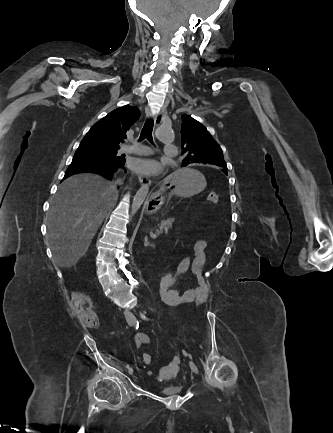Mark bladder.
Listing matches in <instances>:
<instances>
[{
    "instance_id": "1",
    "label": "bladder",
    "mask_w": 333,
    "mask_h": 433,
    "mask_svg": "<svg viewBox=\"0 0 333 433\" xmlns=\"http://www.w3.org/2000/svg\"><path fill=\"white\" fill-rule=\"evenodd\" d=\"M183 387L181 385H168L160 389L163 396L173 397L179 396L182 393Z\"/></svg>"
}]
</instances>
